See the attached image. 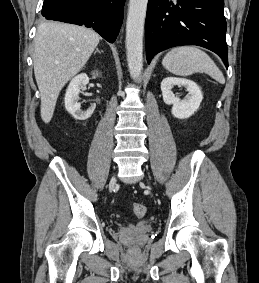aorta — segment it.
Wrapping results in <instances>:
<instances>
[{
    "mask_svg": "<svg viewBox=\"0 0 259 283\" xmlns=\"http://www.w3.org/2000/svg\"><path fill=\"white\" fill-rule=\"evenodd\" d=\"M148 0H130L126 22V55L131 77L138 80L143 69V35Z\"/></svg>",
    "mask_w": 259,
    "mask_h": 283,
    "instance_id": "obj_1",
    "label": "aorta"
}]
</instances>
